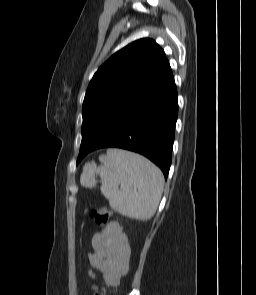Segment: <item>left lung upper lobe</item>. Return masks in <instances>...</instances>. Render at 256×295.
<instances>
[{
    "instance_id": "obj_1",
    "label": "left lung upper lobe",
    "mask_w": 256,
    "mask_h": 295,
    "mask_svg": "<svg viewBox=\"0 0 256 295\" xmlns=\"http://www.w3.org/2000/svg\"><path fill=\"white\" fill-rule=\"evenodd\" d=\"M172 79L164 51L151 39L134 41L115 53L94 74L86 91L80 152Z\"/></svg>"
}]
</instances>
